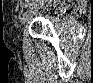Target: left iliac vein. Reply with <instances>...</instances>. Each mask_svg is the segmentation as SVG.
<instances>
[{
    "label": "left iliac vein",
    "mask_w": 93,
    "mask_h": 83,
    "mask_svg": "<svg viewBox=\"0 0 93 83\" xmlns=\"http://www.w3.org/2000/svg\"><path fill=\"white\" fill-rule=\"evenodd\" d=\"M35 11H36V8L27 10L22 17V20H21L22 24H25L27 20L35 13Z\"/></svg>",
    "instance_id": "1"
}]
</instances>
